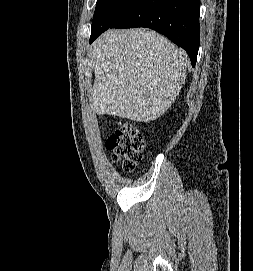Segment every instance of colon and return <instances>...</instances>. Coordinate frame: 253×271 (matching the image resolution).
<instances>
[{"instance_id":"1","label":"colon","mask_w":253,"mask_h":271,"mask_svg":"<svg viewBox=\"0 0 253 271\" xmlns=\"http://www.w3.org/2000/svg\"><path fill=\"white\" fill-rule=\"evenodd\" d=\"M106 146L114 161L120 163L124 171L132 172L142 158L144 138L133 124L125 122L111 133Z\"/></svg>"}]
</instances>
